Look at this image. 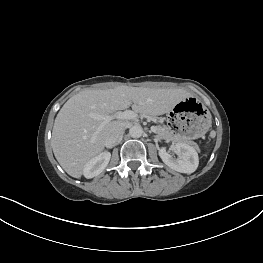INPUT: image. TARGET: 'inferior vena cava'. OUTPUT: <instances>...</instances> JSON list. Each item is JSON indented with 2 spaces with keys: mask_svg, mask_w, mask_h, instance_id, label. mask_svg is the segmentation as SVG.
<instances>
[{
  "mask_svg": "<svg viewBox=\"0 0 263 263\" xmlns=\"http://www.w3.org/2000/svg\"><path fill=\"white\" fill-rule=\"evenodd\" d=\"M124 129H114L112 130L106 138L105 145L111 146L115 144L122 136Z\"/></svg>",
  "mask_w": 263,
  "mask_h": 263,
  "instance_id": "1",
  "label": "inferior vena cava"
}]
</instances>
